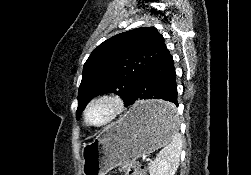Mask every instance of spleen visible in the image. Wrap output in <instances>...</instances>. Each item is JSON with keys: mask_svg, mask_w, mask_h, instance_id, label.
Masks as SVG:
<instances>
[{"mask_svg": "<svg viewBox=\"0 0 251 175\" xmlns=\"http://www.w3.org/2000/svg\"><path fill=\"white\" fill-rule=\"evenodd\" d=\"M171 133V141L159 151L155 161L149 163L150 175H174L179 165V155L182 151L181 133H178L177 113L169 109L166 119Z\"/></svg>", "mask_w": 251, "mask_h": 175, "instance_id": "3e777b00", "label": "spleen"}]
</instances>
